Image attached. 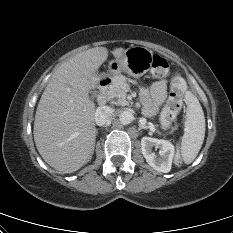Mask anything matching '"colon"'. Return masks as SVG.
Instances as JSON below:
<instances>
[{
	"mask_svg": "<svg viewBox=\"0 0 233 233\" xmlns=\"http://www.w3.org/2000/svg\"><path fill=\"white\" fill-rule=\"evenodd\" d=\"M169 71V64L167 60L159 55H154L151 62V73L157 78H161L167 75ZM186 89L185 81L180 76H175L171 82V92L166 105L164 106L161 115L160 122L161 126L166 129L168 128L178 112L180 111L183 104V96ZM183 163L182 156L177 153L174 157V164L180 166Z\"/></svg>",
	"mask_w": 233,
	"mask_h": 233,
	"instance_id": "1",
	"label": "colon"
}]
</instances>
